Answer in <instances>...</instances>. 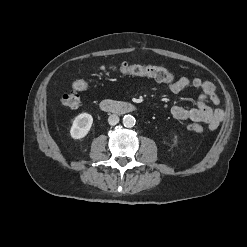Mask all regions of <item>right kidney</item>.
I'll use <instances>...</instances> for the list:
<instances>
[{"label": "right kidney", "mask_w": 247, "mask_h": 247, "mask_svg": "<svg viewBox=\"0 0 247 247\" xmlns=\"http://www.w3.org/2000/svg\"><path fill=\"white\" fill-rule=\"evenodd\" d=\"M93 123V117L88 113H81L75 117L70 129V135L73 139H82L90 131Z\"/></svg>", "instance_id": "1"}]
</instances>
